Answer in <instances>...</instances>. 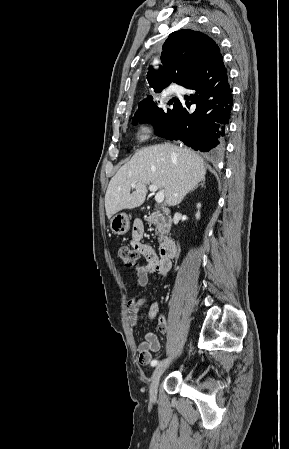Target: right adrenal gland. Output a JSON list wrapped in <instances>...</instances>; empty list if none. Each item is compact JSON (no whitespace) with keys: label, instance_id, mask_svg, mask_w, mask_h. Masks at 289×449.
<instances>
[{"label":"right adrenal gland","instance_id":"1","mask_svg":"<svg viewBox=\"0 0 289 449\" xmlns=\"http://www.w3.org/2000/svg\"><path fill=\"white\" fill-rule=\"evenodd\" d=\"M204 184H205V181L203 180L199 185L201 186V187H204ZM197 187V186H196ZM195 187V188H196ZM195 188H193L191 191H193Z\"/></svg>","mask_w":289,"mask_h":449}]
</instances>
